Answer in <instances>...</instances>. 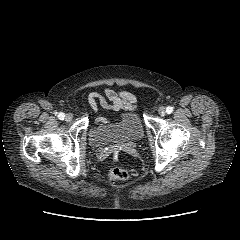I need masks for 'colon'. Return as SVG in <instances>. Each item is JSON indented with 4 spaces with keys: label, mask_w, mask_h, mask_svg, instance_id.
Here are the masks:
<instances>
[{
    "label": "colon",
    "mask_w": 240,
    "mask_h": 240,
    "mask_svg": "<svg viewBox=\"0 0 240 240\" xmlns=\"http://www.w3.org/2000/svg\"><path fill=\"white\" fill-rule=\"evenodd\" d=\"M108 176L114 181H126L129 179V173L127 170L121 167H112L108 171Z\"/></svg>",
    "instance_id": "colon-1"
}]
</instances>
